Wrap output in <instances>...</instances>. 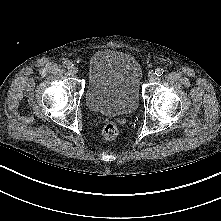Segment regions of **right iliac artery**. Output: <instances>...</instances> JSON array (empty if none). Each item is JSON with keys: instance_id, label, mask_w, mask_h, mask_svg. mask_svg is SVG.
Masks as SVG:
<instances>
[{"instance_id": "right-iliac-artery-1", "label": "right iliac artery", "mask_w": 221, "mask_h": 221, "mask_svg": "<svg viewBox=\"0 0 221 221\" xmlns=\"http://www.w3.org/2000/svg\"><path fill=\"white\" fill-rule=\"evenodd\" d=\"M63 65H64V67L67 68V69H70V68L73 66V64H72L70 61H65V62L63 63Z\"/></svg>"}]
</instances>
